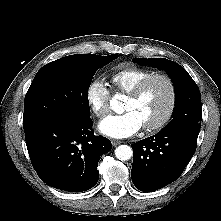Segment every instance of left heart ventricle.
I'll return each mask as SVG.
<instances>
[{
	"label": "left heart ventricle",
	"instance_id": "b2bd125f",
	"mask_svg": "<svg viewBox=\"0 0 221 221\" xmlns=\"http://www.w3.org/2000/svg\"><path fill=\"white\" fill-rule=\"evenodd\" d=\"M170 100L167 83L161 79L151 81L140 98H128L124 105L125 111H133L142 122V126L157 122L166 112Z\"/></svg>",
	"mask_w": 221,
	"mask_h": 221
}]
</instances>
